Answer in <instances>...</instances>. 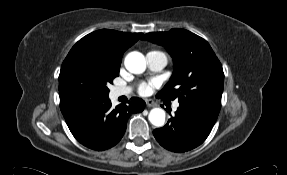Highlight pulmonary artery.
Here are the masks:
<instances>
[{"instance_id": "pulmonary-artery-1", "label": "pulmonary artery", "mask_w": 287, "mask_h": 175, "mask_svg": "<svg viewBox=\"0 0 287 175\" xmlns=\"http://www.w3.org/2000/svg\"><path fill=\"white\" fill-rule=\"evenodd\" d=\"M146 60L149 68L152 71H160L162 70L168 63L167 55L159 50H152L146 54ZM130 93V88L128 87H115L112 90V96L117 98L123 95H127ZM179 107V103L176 102L173 105V108L176 110Z\"/></svg>"}]
</instances>
